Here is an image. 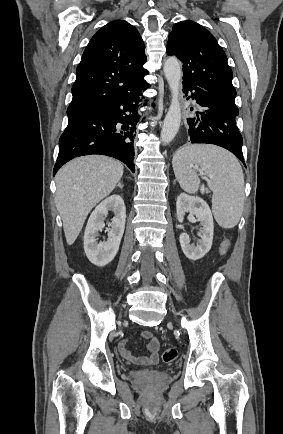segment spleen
<instances>
[{"label": "spleen", "mask_w": 283, "mask_h": 434, "mask_svg": "<svg viewBox=\"0 0 283 434\" xmlns=\"http://www.w3.org/2000/svg\"><path fill=\"white\" fill-rule=\"evenodd\" d=\"M194 165L209 177L215 220L223 228L235 227L244 207V174L239 161L214 145H187L179 149L172 166L181 188L188 193L197 192L200 184Z\"/></svg>", "instance_id": "obj_1"}]
</instances>
